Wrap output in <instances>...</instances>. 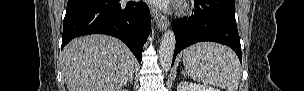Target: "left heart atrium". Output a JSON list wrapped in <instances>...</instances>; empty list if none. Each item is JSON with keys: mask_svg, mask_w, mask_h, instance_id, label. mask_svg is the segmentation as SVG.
I'll return each mask as SVG.
<instances>
[{"mask_svg": "<svg viewBox=\"0 0 304 91\" xmlns=\"http://www.w3.org/2000/svg\"><path fill=\"white\" fill-rule=\"evenodd\" d=\"M154 2L159 3V5H160L161 7H166V6H168L172 1H170V0H162V1H154Z\"/></svg>", "mask_w": 304, "mask_h": 91, "instance_id": "39dd6f15", "label": "left heart atrium"}]
</instances>
